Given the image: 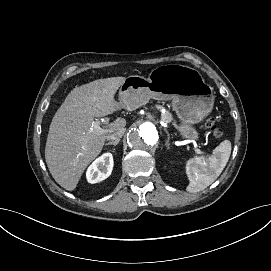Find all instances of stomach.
Returning <instances> with one entry per match:
<instances>
[{
	"mask_svg": "<svg viewBox=\"0 0 271 271\" xmlns=\"http://www.w3.org/2000/svg\"><path fill=\"white\" fill-rule=\"evenodd\" d=\"M150 99L172 100L181 120V133L196 140L198 132L191 127L205 119L214 105L213 87L206 84L199 71L184 65L169 64L153 69L148 78L129 76L119 89V106L134 110Z\"/></svg>",
	"mask_w": 271,
	"mask_h": 271,
	"instance_id": "1",
	"label": "stomach"
}]
</instances>
